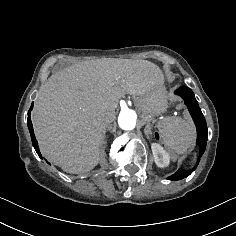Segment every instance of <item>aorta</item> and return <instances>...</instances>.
I'll return each mask as SVG.
<instances>
[{"mask_svg": "<svg viewBox=\"0 0 236 236\" xmlns=\"http://www.w3.org/2000/svg\"><path fill=\"white\" fill-rule=\"evenodd\" d=\"M137 114L134 110H122L118 117L119 127L123 130H132L136 126Z\"/></svg>", "mask_w": 236, "mask_h": 236, "instance_id": "762f6f07", "label": "aorta"}]
</instances>
